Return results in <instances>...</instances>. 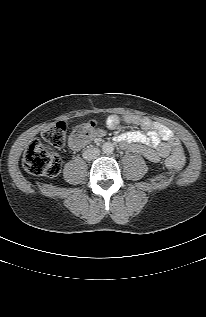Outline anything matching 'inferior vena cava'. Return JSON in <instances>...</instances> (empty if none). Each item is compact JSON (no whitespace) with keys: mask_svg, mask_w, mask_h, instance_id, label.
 <instances>
[{"mask_svg":"<svg viewBox=\"0 0 206 317\" xmlns=\"http://www.w3.org/2000/svg\"><path fill=\"white\" fill-rule=\"evenodd\" d=\"M99 155H100V150L98 148H89L84 151L83 158L85 160L90 161L97 158Z\"/></svg>","mask_w":206,"mask_h":317,"instance_id":"1","label":"inferior vena cava"}]
</instances>
